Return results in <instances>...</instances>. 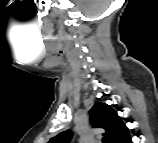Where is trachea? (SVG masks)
<instances>
[{
    "instance_id": "obj_1",
    "label": "trachea",
    "mask_w": 158,
    "mask_h": 143,
    "mask_svg": "<svg viewBox=\"0 0 158 143\" xmlns=\"http://www.w3.org/2000/svg\"><path fill=\"white\" fill-rule=\"evenodd\" d=\"M102 141H103L104 143H108V142H109L107 137H104V138L102 139Z\"/></svg>"
}]
</instances>
